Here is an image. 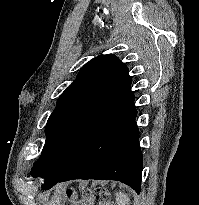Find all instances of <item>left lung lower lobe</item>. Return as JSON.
<instances>
[{"mask_svg":"<svg viewBox=\"0 0 199 205\" xmlns=\"http://www.w3.org/2000/svg\"><path fill=\"white\" fill-rule=\"evenodd\" d=\"M136 113L134 95L130 92L92 131L67 171L42 188L50 189L58 182L73 179H111L139 193L143 160Z\"/></svg>","mask_w":199,"mask_h":205,"instance_id":"left-lung-lower-lobe-1","label":"left lung lower lobe"}]
</instances>
